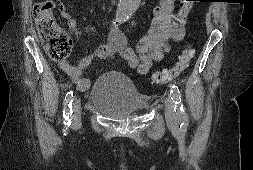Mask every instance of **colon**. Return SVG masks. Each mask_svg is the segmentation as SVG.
Returning a JSON list of instances; mask_svg holds the SVG:
<instances>
[{
  "label": "colon",
  "mask_w": 253,
  "mask_h": 170,
  "mask_svg": "<svg viewBox=\"0 0 253 170\" xmlns=\"http://www.w3.org/2000/svg\"><path fill=\"white\" fill-rule=\"evenodd\" d=\"M195 0H183L178 15L185 20ZM54 0H44L34 6V20L40 38L48 56L52 60L61 61L66 59L72 49V41L68 34L56 23L53 9ZM192 57V50L185 49L178 57L177 62L168 70L158 71L153 74V80L158 84H166L177 78L188 67Z\"/></svg>",
  "instance_id": "colon-1"
}]
</instances>
